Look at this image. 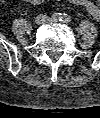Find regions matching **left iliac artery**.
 Segmentation results:
<instances>
[{
	"instance_id": "obj_1",
	"label": "left iliac artery",
	"mask_w": 100,
	"mask_h": 118,
	"mask_svg": "<svg viewBox=\"0 0 100 118\" xmlns=\"http://www.w3.org/2000/svg\"><path fill=\"white\" fill-rule=\"evenodd\" d=\"M61 21L63 22V23H69L70 21H71V18H70V16L69 15H67V14H63L62 15V17H61Z\"/></svg>"
}]
</instances>
